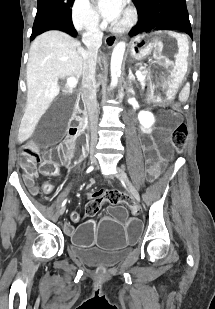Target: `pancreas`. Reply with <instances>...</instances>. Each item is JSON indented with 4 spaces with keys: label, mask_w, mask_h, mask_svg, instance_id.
Returning <instances> with one entry per match:
<instances>
[{
    "label": "pancreas",
    "mask_w": 215,
    "mask_h": 309,
    "mask_svg": "<svg viewBox=\"0 0 215 309\" xmlns=\"http://www.w3.org/2000/svg\"><path fill=\"white\" fill-rule=\"evenodd\" d=\"M142 76H144L143 80H140V84L142 86V88H144V86H146L147 84V80H149V78H147V74H148V70H143V72H141Z\"/></svg>",
    "instance_id": "obj_1"
}]
</instances>
